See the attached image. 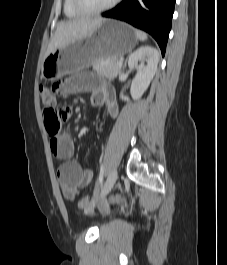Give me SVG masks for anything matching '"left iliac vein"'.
Instances as JSON below:
<instances>
[{"label":"left iliac vein","instance_id":"4c4485c4","mask_svg":"<svg viewBox=\"0 0 227 265\" xmlns=\"http://www.w3.org/2000/svg\"><path fill=\"white\" fill-rule=\"evenodd\" d=\"M117 179V169H112L107 177V180L102 187L99 200L102 201L112 190Z\"/></svg>","mask_w":227,"mask_h":265}]
</instances>
